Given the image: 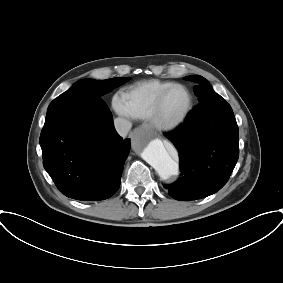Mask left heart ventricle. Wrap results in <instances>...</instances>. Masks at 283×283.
<instances>
[{"label": "left heart ventricle", "instance_id": "left-heart-ventricle-1", "mask_svg": "<svg viewBox=\"0 0 283 283\" xmlns=\"http://www.w3.org/2000/svg\"><path fill=\"white\" fill-rule=\"evenodd\" d=\"M188 94L177 88L172 90L164 99L161 115L163 119L171 121L180 117L188 105Z\"/></svg>", "mask_w": 283, "mask_h": 283}]
</instances>
